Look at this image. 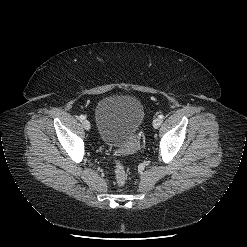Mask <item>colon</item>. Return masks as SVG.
Returning <instances> with one entry per match:
<instances>
[{
  "label": "colon",
  "instance_id": "colon-1",
  "mask_svg": "<svg viewBox=\"0 0 247 247\" xmlns=\"http://www.w3.org/2000/svg\"><path fill=\"white\" fill-rule=\"evenodd\" d=\"M114 174L117 184L120 186L124 185L127 179V173L124 165L119 160L115 162Z\"/></svg>",
  "mask_w": 247,
  "mask_h": 247
}]
</instances>
